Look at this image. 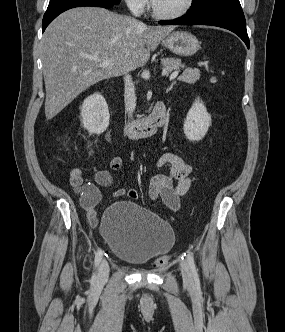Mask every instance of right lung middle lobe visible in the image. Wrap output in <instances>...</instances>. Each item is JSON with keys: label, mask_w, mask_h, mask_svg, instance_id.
<instances>
[{"label": "right lung middle lobe", "mask_w": 285, "mask_h": 332, "mask_svg": "<svg viewBox=\"0 0 285 332\" xmlns=\"http://www.w3.org/2000/svg\"><path fill=\"white\" fill-rule=\"evenodd\" d=\"M52 1H56V0H51ZM98 1H102L104 3H108V4H119L121 0H98Z\"/></svg>", "instance_id": "right-lung-middle-lobe-1"}]
</instances>
